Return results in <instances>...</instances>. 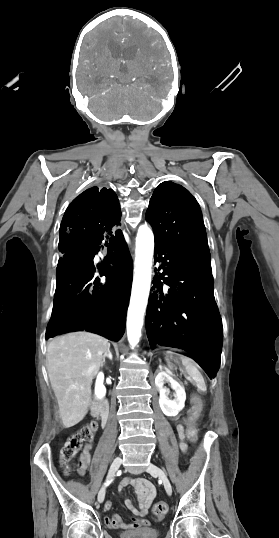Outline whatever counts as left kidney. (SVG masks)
<instances>
[{
	"label": "left kidney",
	"mask_w": 279,
	"mask_h": 538,
	"mask_svg": "<svg viewBox=\"0 0 279 538\" xmlns=\"http://www.w3.org/2000/svg\"><path fill=\"white\" fill-rule=\"evenodd\" d=\"M172 376L173 374L170 370H165V372H158L155 378L156 388H158L160 394L159 406L165 416H177L185 406V390L176 380H173ZM167 382L171 384L172 390H175L174 400L168 398L170 390L164 388V384H167Z\"/></svg>",
	"instance_id": "5707ae66"
}]
</instances>
